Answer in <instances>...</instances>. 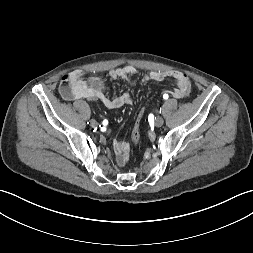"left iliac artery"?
Masks as SVG:
<instances>
[{"mask_svg":"<svg viewBox=\"0 0 253 253\" xmlns=\"http://www.w3.org/2000/svg\"><path fill=\"white\" fill-rule=\"evenodd\" d=\"M164 97V99H167L168 98V95L167 96H163Z\"/></svg>","mask_w":253,"mask_h":253,"instance_id":"left-iliac-artery-1","label":"left iliac artery"}]
</instances>
